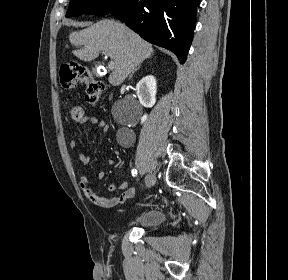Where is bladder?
I'll return each mask as SVG.
<instances>
[{"label": "bladder", "instance_id": "31cf9c89", "mask_svg": "<svg viewBox=\"0 0 288 280\" xmlns=\"http://www.w3.org/2000/svg\"><path fill=\"white\" fill-rule=\"evenodd\" d=\"M166 219V214L160 209H149L136 217L131 224L140 227H151L161 224Z\"/></svg>", "mask_w": 288, "mask_h": 280}]
</instances>
